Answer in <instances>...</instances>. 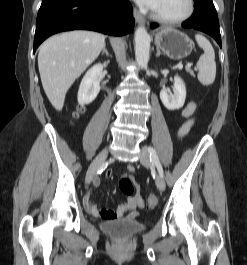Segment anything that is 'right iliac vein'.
Here are the masks:
<instances>
[{
    "label": "right iliac vein",
    "instance_id": "obj_1",
    "mask_svg": "<svg viewBox=\"0 0 247 265\" xmlns=\"http://www.w3.org/2000/svg\"><path fill=\"white\" fill-rule=\"evenodd\" d=\"M108 156V148H104L97 157L93 160L91 165L89 166L87 175H86V183L90 184L95 175L97 174V171L101 168V166L104 164L106 158Z\"/></svg>",
    "mask_w": 247,
    "mask_h": 265
}]
</instances>
